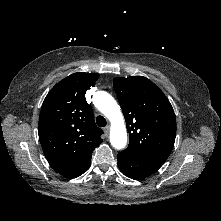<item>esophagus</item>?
Masks as SVG:
<instances>
[{
  "instance_id": "obj_1",
  "label": "esophagus",
  "mask_w": 221,
  "mask_h": 221,
  "mask_svg": "<svg viewBox=\"0 0 221 221\" xmlns=\"http://www.w3.org/2000/svg\"><path fill=\"white\" fill-rule=\"evenodd\" d=\"M109 131H110V126H106V127L104 128L105 134L108 135V134H109Z\"/></svg>"
}]
</instances>
